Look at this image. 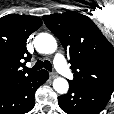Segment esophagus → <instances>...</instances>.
Masks as SVG:
<instances>
[{"label":"esophagus","instance_id":"1","mask_svg":"<svg viewBox=\"0 0 114 114\" xmlns=\"http://www.w3.org/2000/svg\"><path fill=\"white\" fill-rule=\"evenodd\" d=\"M49 75H50V78H55V77H57V74H56V73H52V72H51Z\"/></svg>","mask_w":114,"mask_h":114}]
</instances>
